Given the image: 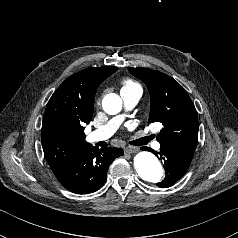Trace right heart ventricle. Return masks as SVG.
<instances>
[{"label": "right heart ventricle", "instance_id": "right-heart-ventricle-1", "mask_svg": "<svg viewBox=\"0 0 238 238\" xmlns=\"http://www.w3.org/2000/svg\"><path fill=\"white\" fill-rule=\"evenodd\" d=\"M123 91H137L141 93L142 89H141V86L137 82L131 79H123L121 81V92Z\"/></svg>", "mask_w": 238, "mask_h": 238}]
</instances>
